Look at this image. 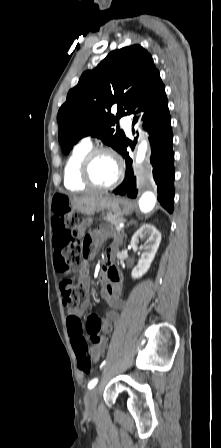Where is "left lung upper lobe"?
Wrapping results in <instances>:
<instances>
[{"label":"left lung upper lobe","instance_id":"5c2ea615","mask_svg":"<svg viewBox=\"0 0 221 448\" xmlns=\"http://www.w3.org/2000/svg\"><path fill=\"white\" fill-rule=\"evenodd\" d=\"M162 87L151 55L140 45L110 52L95 69L82 74L59 109L58 139L64 153L68 154L75 143L88 135L120 152L125 135L119 130L115 132L113 126L120 117L134 113L136 104L140 109ZM114 105L118 107L116 115L110 113Z\"/></svg>","mask_w":221,"mask_h":448}]
</instances>
